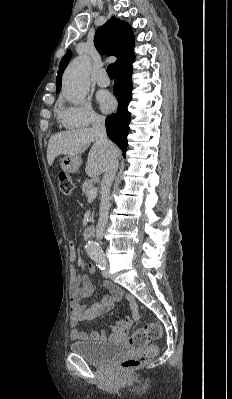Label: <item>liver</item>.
<instances>
[{
	"instance_id": "liver-1",
	"label": "liver",
	"mask_w": 232,
	"mask_h": 399,
	"mask_svg": "<svg viewBox=\"0 0 232 399\" xmlns=\"http://www.w3.org/2000/svg\"><path fill=\"white\" fill-rule=\"evenodd\" d=\"M94 142L87 158L85 172L89 178L100 176L106 170L108 164L107 152L109 148L98 142L92 128H80V130H67V132H58L51 136L47 148V160L49 166H52L57 156H77L82 154L90 144ZM113 152L118 154L117 146L112 144Z\"/></svg>"
}]
</instances>
